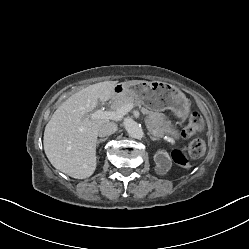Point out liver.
Returning a JSON list of instances; mask_svg holds the SVG:
<instances>
[{
    "label": "liver",
    "mask_w": 249,
    "mask_h": 249,
    "mask_svg": "<svg viewBox=\"0 0 249 249\" xmlns=\"http://www.w3.org/2000/svg\"><path fill=\"white\" fill-rule=\"evenodd\" d=\"M117 81L90 85L70 96L54 112L44 131V151L50 163L76 179L90 177L96 169L99 127L108 119L91 118L99 102L114 95Z\"/></svg>",
    "instance_id": "obj_1"
}]
</instances>
